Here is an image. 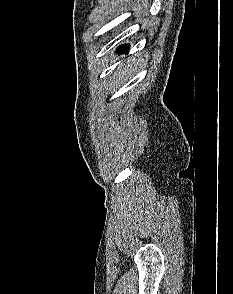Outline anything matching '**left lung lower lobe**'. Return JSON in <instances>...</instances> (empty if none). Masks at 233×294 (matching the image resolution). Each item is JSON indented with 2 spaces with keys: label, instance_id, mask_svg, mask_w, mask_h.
<instances>
[{
  "label": "left lung lower lobe",
  "instance_id": "obj_1",
  "mask_svg": "<svg viewBox=\"0 0 233 294\" xmlns=\"http://www.w3.org/2000/svg\"><path fill=\"white\" fill-rule=\"evenodd\" d=\"M129 49L128 45H123V46H120L118 49H117V52L118 53H125L127 52Z\"/></svg>",
  "mask_w": 233,
  "mask_h": 294
}]
</instances>
